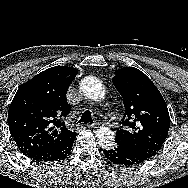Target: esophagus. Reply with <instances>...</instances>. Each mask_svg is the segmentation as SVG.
I'll return each mask as SVG.
<instances>
[{"instance_id":"34e87169","label":"esophagus","mask_w":188,"mask_h":188,"mask_svg":"<svg viewBox=\"0 0 188 188\" xmlns=\"http://www.w3.org/2000/svg\"><path fill=\"white\" fill-rule=\"evenodd\" d=\"M99 125H100V123L95 121V122H93V123H88V124H87V127L98 128Z\"/></svg>"}]
</instances>
